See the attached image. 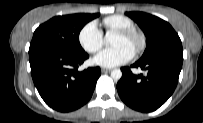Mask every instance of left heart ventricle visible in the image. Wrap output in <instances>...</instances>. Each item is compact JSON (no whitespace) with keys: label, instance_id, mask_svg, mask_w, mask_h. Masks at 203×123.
<instances>
[{"label":"left heart ventricle","instance_id":"obj_1","mask_svg":"<svg viewBox=\"0 0 203 123\" xmlns=\"http://www.w3.org/2000/svg\"><path fill=\"white\" fill-rule=\"evenodd\" d=\"M138 39L136 37H123L118 34H114L111 39L112 46H124L131 52H134L137 47Z\"/></svg>","mask_w":203,"mask_h":123}]
</instances>
